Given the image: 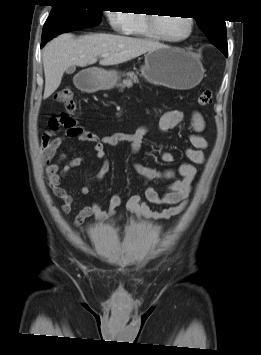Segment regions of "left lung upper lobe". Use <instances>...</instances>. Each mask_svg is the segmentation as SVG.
<instances>
[{
  "label": "left lung upper lobe",
  "instance_id": "5c2ea615",
  "mask_svg": "<svg viewBox=\"0 0 261 355\" xmlns=\"http://www.w3.org/2000/svg\"><path fill=\"white\" fill-rule=\"evenodd\" d=\"M195 20L208 39L227 57L228 47L225 21L206 18H195Z\"/></svg>",
  "mask_w": 261,
  "mask_h": 355
}]
</instances>
